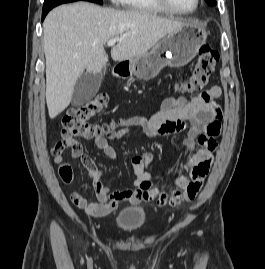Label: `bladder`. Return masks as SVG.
I'll use <instances>...</instances> for the list:
<instances>
[{
  "instance_id": "31cf9c89",
  "label": "bladder",
  "mask_w": 265,
  "mask_h": 269,
  "mask_svg": "<svg viewBox=\"0 0 265 269\" xmlns=\"http://www.w3.org/2000/svg\"><path fill=\"white\" fill-rule=\"evenodd\" d=\"M148 212L145 208L135 206L121 210L115 216V227L124 232L141 229L147 222Z\"/></svg>"
}]
</instances>
